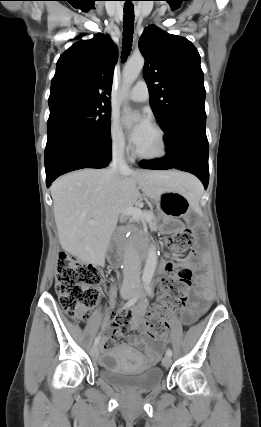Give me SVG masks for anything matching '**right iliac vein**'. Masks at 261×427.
<instances>
[{"label": "right iliac vein", "instance_id": "right-iliac-vein-1", "mask_svg": "<svg viewBox=\"0 0 261 427\" xmlns=\"http://www.w3.org/2000/svg\"><path fill=\"white\" fill-rule=\"evenodd\" d=\"M132 295H133V292H132V291H130V290H126V291H123V292H122V297H123L124 299H128V298H130ZM90 355H91V358H92L94 361H97V360H98V357H99V351H98L97 346L92 347V349H91V351H90Z\"/></svg>", "mask_w": 261, "mask_h": 427}]
</instances>
